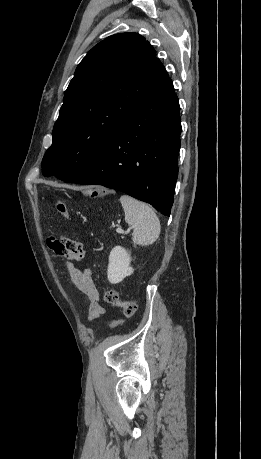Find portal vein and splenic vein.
Here are the masks:
<instances>
[{
    "mask_svg": "<svg viewBox=\"0 0 261 459\" xmlns=\"http://www.w3.org/2000/svg\"><path fill=\"white\" fill-rule=\"evenodd\" d=\"M116 232H117V233H120V234L125 233L124 230H123L122 228H117V229H116Z\"/></svg>",
    "mask_w": 261,
    "mask_h": 459,
    "instance_id": "18ae733b",
    "label": "portal vein and splenic vein"
}]
</instances>
